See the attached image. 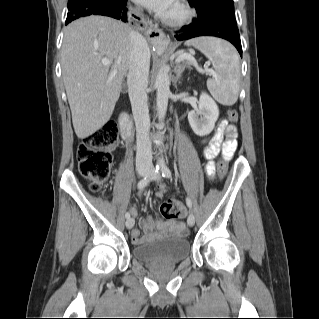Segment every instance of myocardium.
Wrapping results in <instances>:
<instances>
[{"instance_id": "myocardium-1", "label": "myocardium", "mask_w": 319, "mask_h": 319, "mask_svg": "<svg viewBox=\"0 0 319 319\" xmlns=\"http://www.w3.org/2000/svg\"><path fill=\"white\" fill-rule=\"evenodd\" d=\"M178 13L172 16H164L162 22L166 25L177 27L184 25L193 16L192 8L184 0H176Z\"/></svg>"}]
</instances>
